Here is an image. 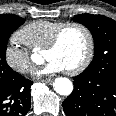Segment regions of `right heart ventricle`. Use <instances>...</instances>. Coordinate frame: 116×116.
I'll list each match as a JSON object with an SVG mask.
<instances>
[{
    "mask_svg": "<svg viewBox=\"0 0 116 116\" xmlns=\"http://www.w3.org/2000/svg\"><path fill=\"white\" fill-rule=\"evenodd\" d=\"M64 23L56 20H37L25 25L17 34L28 47L45 48L55 31Z\"/></svg>",
    "mask_w": 116,
    "mask_h": 116,
    "instance_id": "1",
    "label": "right heart ventricle"
}]
</instances>
